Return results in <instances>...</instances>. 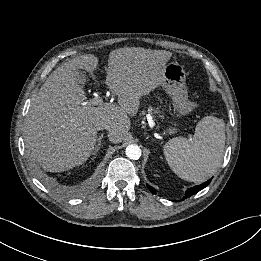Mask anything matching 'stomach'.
Masks as SVG:
<instances>
[{"label":"stomach","mask_w":261,"mask_h":261,"mask_svg":"<svg viewBox=\"0 0 261 261\" xmlns=\"http://www.w3.org/2000/svg\"><path fill=\"white\" fill-rule=\"evenodd\" d=\"M185 81L186 73L182 65L177 62H171L165 66L161 86L171 97L174 110L179 117L189 114L196 107V104L188 99ZM176 132L177 128L170 126L164 131V134L172 135Z\"/></svg>","instance_id":"stomach-1"}]
</instances>
